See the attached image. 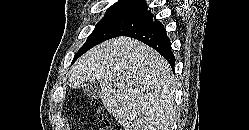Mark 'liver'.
<instances>
[{
    "mask_svg": "<svg viewBox=\"0 0 249 130\" xmlns=\"http://www.w3.org/2000/svg\"><path fill=\"white\" fill-rule=\"evenodd\" d=\"M98 81L101 100L124 130H170L176 82L169 63L154 49L128 37L103 42L71 67L68 85Z\"/></svg>",
    "mask_w": 249,
    "mask_h": 130,
    "instance_id": "6515ba94",
    "label": "liver"
}]
</instances>
